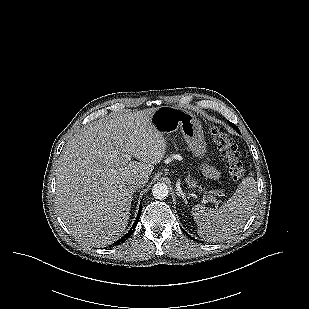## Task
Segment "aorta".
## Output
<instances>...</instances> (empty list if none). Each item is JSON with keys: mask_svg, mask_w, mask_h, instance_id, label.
<instances>
[{"mask_svg": "<svg viewBox=\"0 0 309 309\" xmlns=\"http://www.w3.org/2000/svg\"><path fill=\"white\" fill-rule=\"evenodd\" d=\"M152 193L156 199L163 200L168 197L169 188L164 183H157V184H154L152 188Z\"/></svg>", "mask_w": 309, "mask_h": 309, "instance_id": "762f6f07", "label": "aorta"}]
</instances>
